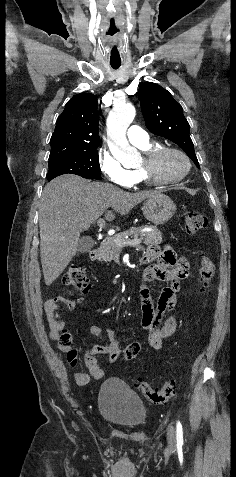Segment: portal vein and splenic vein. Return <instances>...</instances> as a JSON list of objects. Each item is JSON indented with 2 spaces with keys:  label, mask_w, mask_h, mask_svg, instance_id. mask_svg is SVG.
Wrapping results in <instances>:
<instances>
[{
  "label": "portal vein and splenic vein",
  "mask_w": 236,
  "mask_h": 477,
  "mask_svg": "<svg viewBox=\"0 0 236 477\" xmlns=\"http://www.w3.org/2000/svg\"><path fill=\"white\" fill-rule=\"evenodd\" d=\"M97 224L100 228L104 227L105 225V222L103 219H99L97 221ZM114 242L118 245V246H121V247H124V246H138L141 244V239H138V238H135L133 240H123V239H120V238H115L114 239Z\"/></svg>",
  "instance_id": "18ae733b"
}]
</instances>
